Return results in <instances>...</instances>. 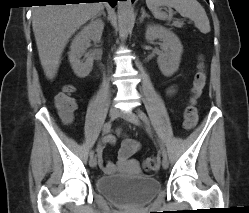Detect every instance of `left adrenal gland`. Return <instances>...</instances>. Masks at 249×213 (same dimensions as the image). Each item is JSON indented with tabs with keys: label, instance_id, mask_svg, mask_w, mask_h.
Segmentation results:
<instances>
[{
	"label": "left adrenal gland",
	"instance_id": "obj_1",
	"mask_svg": "<svg viewBox=\"0 0 249 213\" xmlns=\"http://www.w3.org/2000/svg\"><path fill=\"white\" fill-rule=\"evenodd\" d=\"M141 17H140V23L144 20L145 17H149V15L146 13L144 8H141Z\"/></svg>",
	"mask_w": 249,
	"mask_h": 213
}]
</instances>
